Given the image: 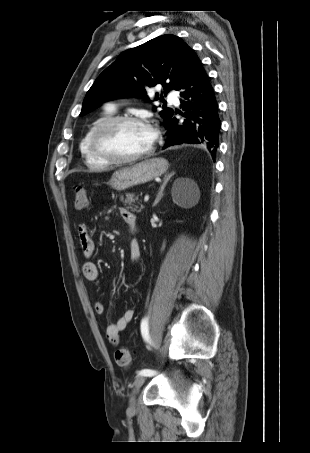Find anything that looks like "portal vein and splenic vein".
I'll use <instances>...</instances> for the list:
<instances>
[{
	"instance_id": "obj_1",
	"label": "portal vein and splenic vein",
	"mask_w": 310,
	"mask_h": 453,
	"mask_svg": "<svg viewBox=\"0 0 310 453\" xmlns=\"http://www.w3.org/2000/svg\"><path fill=\"white\" fill-rule=\"evenodd\" d=\"M148 200H149V196H148V195H145V197H144V202H148Z\"/></svg>"
}]
</instances>
